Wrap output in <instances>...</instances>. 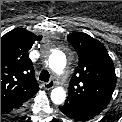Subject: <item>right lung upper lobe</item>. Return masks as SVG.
Instances as JSON below:
<instances>
[{
	"label": "right lung upper lobe",
	"mask_w": 122,
	"mask_h": 122,
	"mask_svg": "<svg viewBox=\"0 0 122 122\" xmlns=\"http://www.w3.org/2000/svg\"><path fill=\"white\" fill-rule=\"evenodd\" d=\"M41 39L22 28L1 37V107H20L39 90L28 51Z\"/></svg>",
	"instance_id": "right-lung-upper-lobe-1"
}]
</instances>
